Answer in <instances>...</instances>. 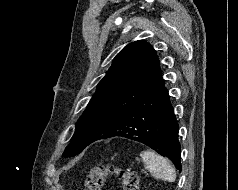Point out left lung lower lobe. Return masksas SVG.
<instances>
[{
	"mask_svg": "<svg viewBox=\"0 0 238 190\" xmlns=\"http://www.w3.org/2000/svg\"><path fill=\"white\" fill-rule=\"evenodd\" d=\"M179 126L161 74L120 116L105 137L123 136L168 157L181 171Z\"/></svg>",
	"mask_w": 238,
	"mask_h": 190,
	"instance_id": "0a47b994",
	"label": "left lung lower lobe"
}]
</instances>
